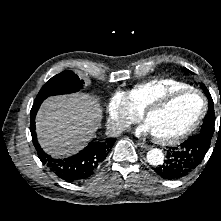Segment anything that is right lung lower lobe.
<instances>
[{"label":"right lung lower lobe","mask_w":221,"mask_h":221,"mask_svg":"<svg viewBox=\"0 0 221 221\" xmlns=\"http://www.w3.org/2000/svg\"><path fill=\"white\" fill-rule=\"evenodd\" d=\"M43 100H35L30 113V131L39 159L57 177L67 182H76L90 177L111 151L116 138H109L102 142H90L85 149L69 158H52L45 154L40 147L35 132V117Z\"/></svg>","instance_id":"1"}]
</instances>
